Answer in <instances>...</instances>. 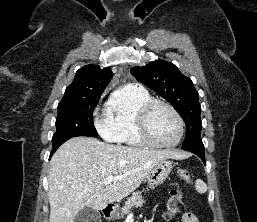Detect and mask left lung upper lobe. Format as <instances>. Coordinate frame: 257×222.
<instances>
[{"instance_id": "5c2ea615", "label": "left lung upper lobe", "mask_w": 257, "mask_h": 222, "mask_svg": "<svg viewBox=\"0 0 257 222\" xmlns=\"http://www.w3.org/2000/svg\"><path fill=\"white\" fill-rule=\"evenodd\" d=\"M131 74L167 100L183 118L186 137L182 148L186 151H204L199 94L191 79L184 76L173 63L164 60L133 67Z\"/></svg>"}]
</instances>
